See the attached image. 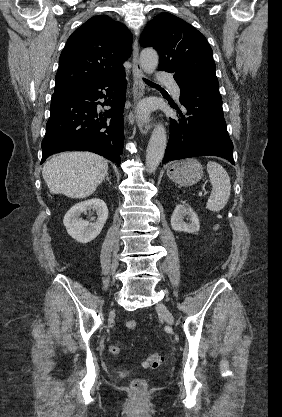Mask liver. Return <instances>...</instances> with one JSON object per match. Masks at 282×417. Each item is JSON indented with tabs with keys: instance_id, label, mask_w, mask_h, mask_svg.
<instances>
[{
	"instance_id": "obj_1",
	"label": "liver",
	"mask_w": 282,
	"mask_h": 417,
	"mask_svg": "<svg viewBox=\"0 0 282 417\" xmlns=\"http://www.w3.org/2000/svg\"><path fill=\"white\" fill-rule=\"evenodd\" d=\"M107 170V160L94 152H60L45 162L42 176L53 194L85 198L101 184Z\"/></svg>"
}]
</instances>
